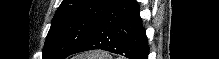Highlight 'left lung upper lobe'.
Masks as SVG:
<instances>
[{
    "instance_id": "5c2ea615",
    "label": "left lung upper lobe",
    "mask_w": 219,
    "mask_h": 59,
    "mask_svg": "<svg viewBox=\"0 0 219 59\" xmlns=\"http://www.w3.org/2000/svg\"><path fill=\"white\" fill-rule=\"evenodd\" d=\"M112 0H63L51 22L43 59H65L96 29Z\"/></svg>"
}]
</instances>
